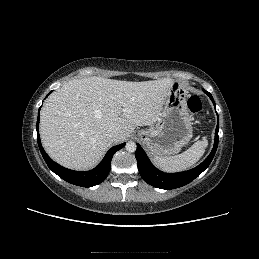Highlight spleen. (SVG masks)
<instances>
[{"mask_svg": "<svg viewBox=\"0 0 259 259\" xmlns=\"http://www.w3.org/2000/svg\"><path fill=\"white\" fill-rule=\"evenodd\" d=\"M208 146L206 138L195 142L189 149L175 156L154 157L153 163L165 172H179L192 167L205 153Z\"/></svg>", "mask_w": 259, "mask_h": 259, "instance_id": "3e777b00", "label": "spleen"}]
</instances>
